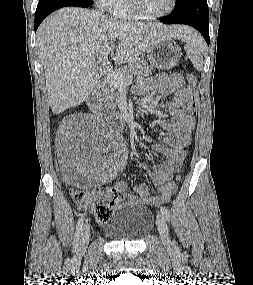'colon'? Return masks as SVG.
<instances>
[{
	"instance_id": "colon-1",
	"label": "colon",
	"mask_w": 253,
	"mask_h": 285,
	"mask_svg": "<svg viewBox=\"0 0 253 285\" xmlns=\"http://www.w3.org/2000/svg\"><path fill=\"white\" fill-rule=\"evenodd\" d=\"M188 91L190 98L188 101V111L190 115L195 116L198 108V100L196 94L197 79L188 73L186 74ZM178 178L167 184L164 190H173L177 187ZM74 200L83 208L93 213L96 220L103 224L108 222L114 212L117 204L124 198V192L115 188L94 191L74 188L71 190Z\"/></svg>"
}]
</instances>
